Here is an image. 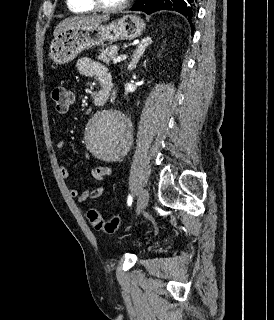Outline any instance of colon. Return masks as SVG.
I'll return each mask as SVG.
<instances>
[{
	"label": "colon",
	"instance_id": "obj_1",
	"mask_svg": "<svg viewBox=\"0 0 274 320\" xmlns=\"http://www.w3.org/2000/svg\"><path fill=\"white\" fill-rule=\"evenodd\" d=\"M51 99L55 104L57 113H66L69 106L73 103V95L70 90L65 86H56L51 91ZM90 223L94 228L103 233L113 234L120 225V215H115L109 220L103 218V216L95 209H91L88 212Z\"/></svg>",
	"mask_w": 274,
	"mask_h": 320
}]
</instances>
